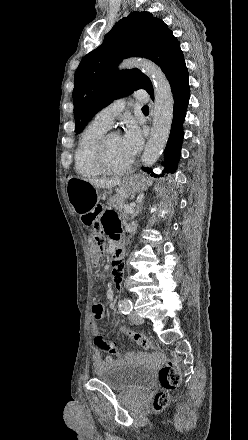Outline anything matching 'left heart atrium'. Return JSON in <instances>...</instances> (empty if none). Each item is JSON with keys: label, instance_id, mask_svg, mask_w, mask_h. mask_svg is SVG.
Masks as SVG:
<instances>
[{"label": "left heart atrium", "instance_id": "39dd6f15", "mask_svg": "<svg viewBox=\"0 0 248 440\" xmlns=\"http://www.w3.org/2000/svg\"><path fill=\"white\" fill-rule=\"evenodd\" d=\"M121 138L123 151L132 160L142 147V135L137 124L130 120L127 122Z\"/></svg>", "mask_w": 248, "mask_h": 440}]
</instances>
